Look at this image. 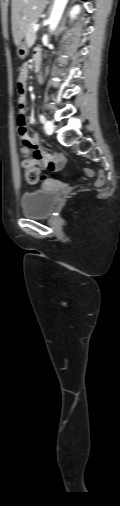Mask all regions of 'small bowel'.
<instances>
[{"instance_id":"c3829d8e","label":"small bowel","mask_w":120,"mask_h":506,"mask_svg":"<svg viewBox=\"0 0 120 506\" xmlns=\"http://www.w3.org/2000/svg\"><path fill=\"white\" fill-rule=\"evenodd\" d=\"M36 53H40L38 49L34 51L35 56ZM29 72L28 64L25 63L20 70L19 73V81L25 85V81L27 79ZM21 134V133H20ZM23 137H28L31 141V143L35 146V148L41 153V157L38 159V165L43 169H49V170H59L63 167L64 164V156L62 154H57L54 156H51L47 154L44 150L39 148V137L38 134H33V136H29L27 133L21 134Z\"/></svg>"}]
</instances>
